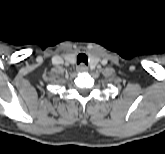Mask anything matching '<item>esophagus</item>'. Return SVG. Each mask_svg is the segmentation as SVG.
Returning a JSON list of instances; mask_svg holds the SVG:
<instances>
[{
  "label": "esophagus",
  "instance_id": "esophagus-1",
  "mask_svg": "<svg viewBox=\"0 0 165 154\" xmlns=\"http://www.w3.org/2000/svg\"><path fill=\"white\" fill-rule=\"evenodd\" d=\"M77 71L78 72H87L88 67L85 64H80V65L77 66Z\"/></svg>",
  "mask_w": 165,
  "mask_h": 154
}]
</instances>
